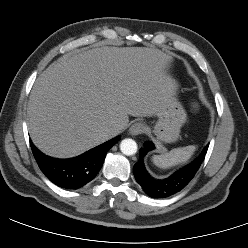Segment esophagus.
I'll return each mask as SVG.
<instances>
[{
  "label": "esophagus",
  "instance_id": "1",
  "mask_svg": "<svg viewBox=\"0 0 248 248\" xmlns=\"http://www.w3.org/2000/svg\"><path fill=\"white\" fill-rule=\"evenodd\" d=\"M129 132L131 135H139L144 132V125L141 122H135L131 125Z\"/></svg>",
  "mask_w": 248,
  "mask_h": 248
}]
</instances>
